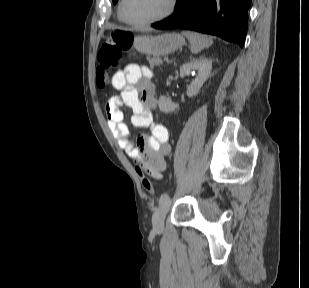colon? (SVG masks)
I'll use <instances>...</instances> for the list:
<instances>
[{
    "mask_svg": "<svg viewBox=\"0 0 309 288\" xmlns=\"http://www.w3.org/2000/svg\"><path fill=\"white\" fill-rule=\"evenodd\" d=\"M133 44V35L129 31L118 30L105 39L98 50V66L96 70V85L104 89L110 83V71L115 68L123 55L129 51ZM142 178V185L147 192L154 194L152 182L145 176L140 164L135 165Z\"/></svg>",
    "mask_w": 309,
    "mask_h": 288,
    "instance_id": "5ec220e1",
    "label": "colon"
}]
</instances>
